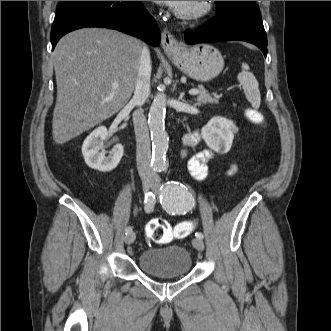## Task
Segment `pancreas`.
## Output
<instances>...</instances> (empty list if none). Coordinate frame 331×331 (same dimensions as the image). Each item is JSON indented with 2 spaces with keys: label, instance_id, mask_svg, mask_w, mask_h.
<instances>
[{
  "label": "pancreas",
  "instance_id": "pancreas-1",
  "mask_svg": "<svg viewBox=\"0 0 331 331\" xmlns=\"http://www.w3.org/2000/svg\"><path fill=\"white\" fill-rule=\"evenodd\" d=\"M197 90L199 91V94L196 98V101H197L198 105L206 104V103H210V104H218L219 103V96L212 97L205 90L204 87H199Z\"/></svg>",
  "mask_w": 331,
  "mask_h": 331
}]
</instances>
